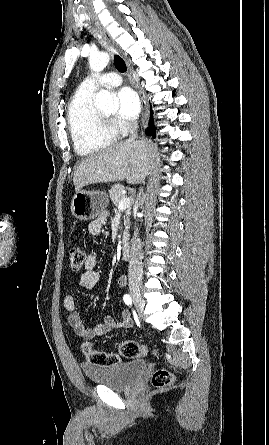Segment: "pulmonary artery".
<instances>
[{
  "instance_id": "pulmonary-artery-1",
  "label": "pulmonary artery",
  "mask_w": 269,
  "mask_h": 445,
  "mask_svg": "<svg viewBox=\"0 0 269 445\" xmlns=\"http://www.w3.org/2000/svg\"><path fill=\"white\" fill-rule=\"evenodd\" d=\"M122 82L121 77L115 72L105 73L103 75H91L86 77L81 83V87L90 91H96L99 87H116Z\"/></svg>"
}]
</instances>
